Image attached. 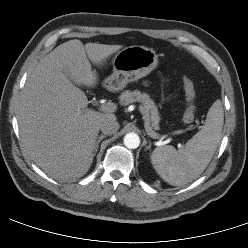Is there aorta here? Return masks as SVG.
Wrapping results in <instances>:
<instances>
[{
  "instance_id": "aorta-1",
  "label": "aorta",
  "mask_w": 248,
  "mask_h": 248,
  "mask_svg": "<svg viewBox=\"0 0 248 248\" xmlns=\"http://www.w3.org/2000/svg\"><path fill=\"white\" fill-rule=\"evenodd\" d=\"M124 145L129 149L138 148L140 145V138L136 133H128L124 137Z\"/></svg>"
}]
</instances>
